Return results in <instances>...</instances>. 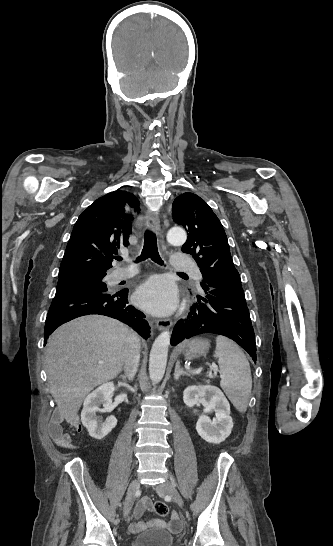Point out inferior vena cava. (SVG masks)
<instances>
[{
	"label": "inferior vena cava",
	"instance_id": "1",
	"mask_svg": "<svg viewBox=\"0 0 333 546\" xmlns=\"http://www.w3.org/2000/svg\"><path fill=\"white\" fill-rule=\"evenodd\" d=\"M140 361V341L137 335L129 333L127 336V348L124 360V370L129 378L132 380L137 372Z\"/></svg>",
	"mask_w": 333,
	"mask_h": 546
}]
</instances>
